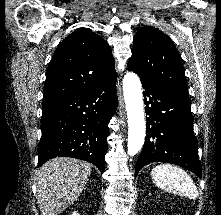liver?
Instances as JSON below:
<instances>
[{"label":"liver","instance_id":"liver-1","mask_svg":"<svg viewBox=\"0 0 221 215\" xmlns=\"http://www.w3.org/2000/svg\"><path fill=\"white\" fill-rule=\"evenodd\" d=\"M92 172L90 163L66 157L47 161L36 178L37 203L42 215H57L82 193Z\"/></svg>","mask_w":221,"mask_h":215}]
</instances>
